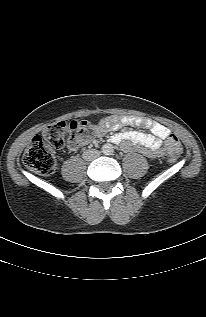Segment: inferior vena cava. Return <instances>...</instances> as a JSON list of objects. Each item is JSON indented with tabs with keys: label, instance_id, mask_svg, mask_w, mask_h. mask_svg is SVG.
Here are the masks:
<instances>
[{
	"label": "inferior vena cava",
	"instance_id": "obj_1",
	"mask_svg": "<svg viewBox=\"0 0 206 317\" xmlns=\"http://www.w3.org/2000/svg\"><path fill=\"white\" fill-rule=\"evenodd\" d=\"M99 151L95 150V149H89L84 151L83 153V159L86 161H91L94 160L95 158H97L99 156Z\"/></svg>",
	"mask_w": 206,
	"mask_h": 317
}]
</instances>
